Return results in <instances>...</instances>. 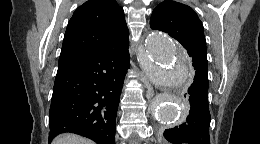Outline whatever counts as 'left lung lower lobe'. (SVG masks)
Returning a JSON list of instances; mask_svg holds the SVG:
<instances>
[{"label": "left lung lower lobe", "mask_w": 260, "mask_h": 144, "mask_svg": "<svg viewBox=\"0 0 260 144\" xmlns=\"http://www.w3.org/2000/svg\"><path fill=\"white\" fill-rule=\"evenodd\" d=\"M195 68L194 81L184 94L190 111L184 122L164 131L165 138L174 144H210V112L208 106V63L196 53H188Z\"/></svg>", "instance_id": "0a47b994"}]
</instances>
